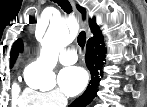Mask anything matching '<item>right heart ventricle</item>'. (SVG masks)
<instances>
[{
  "label": "right heart ventricle",
  "instance_id": "right-heart-ventricle-1",
  "mask_svg": "<svg viewBox=\"0 0 147 107\" xmlns=\"http://www.w3.org/2000/svg\"><path fill=\"white\" fill-rule=\"evenodd\" d=\"M13 103L17 107H30L38 104L36 100V93L32 90H21L18 85L12 88Z\"/></svg>",
  "mask_w": 147,
  "mask_h": 107
}]
</instances>
